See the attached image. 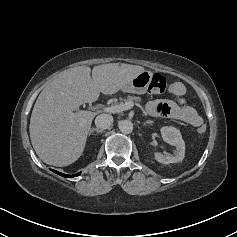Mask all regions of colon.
Wrapping results in <instances>:
<instances>
[{"label": "colon", "mask_w": 237, "mask_h": 237, "mask_svg": "<svg viewBox=\"0 0 237 237\" xmlns=\"http://www.w3.org/2000/svg\"><path fill=\"white\" fill-rule=\"evenodd\" d=\"M167 89V80L164 76L161 74H154L151 78L150 86H149V92L154 93V94H162L166 91ZM207 128L206 125L201 124L197 131L200 134H204L206 132Z\"/></svg>", "instance_id": "colon-1"}]
</instances>
